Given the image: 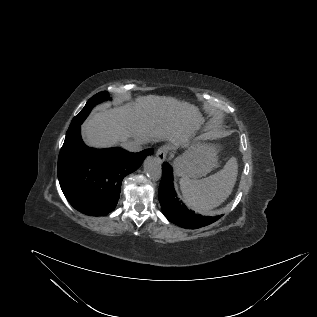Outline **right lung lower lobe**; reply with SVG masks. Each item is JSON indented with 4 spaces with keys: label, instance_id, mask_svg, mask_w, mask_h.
Wrapping results in <instances>:
<instances>
[{
    "label": "right lung lower lobe",
    "instance_id": "98d812e1",
    "mask_svg": "<svg viewBox=\"0 0 317 317\" xmlns=\"http://www.w3.org/2000/svg\"><path fill=\"white\" fill-rule=\"evenodd\" d=\"M80 125L66 135L60 150L59 183L75 209L91 216L107 215L117 205L123 178L137 170L153 149L139 153L118 147L93 149L83 143Z\"/></svg>",
    "mask_w": 317,
    "mask_h": 317
}]
</instances>
